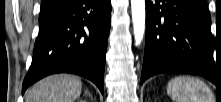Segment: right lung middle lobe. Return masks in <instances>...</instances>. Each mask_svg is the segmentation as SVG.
<instances>
[{
	"label": "right lung middle lobe",
	"instance_id": "right-lung-middle-lobe-1",
	"mask_svg": "<svg viewBox=\"0 0 221 102\" xmlns=\"http://www.w3.org/2000/svg\"><path fill=\"white\" fill-rule=\"evenodd\" d=\"M48 12H50V11H40V16H39V17L44 16V15L47 14Z\"/></svg>",
	"mask_w": 221,
	"mask_h": 102
}]
</instances>
